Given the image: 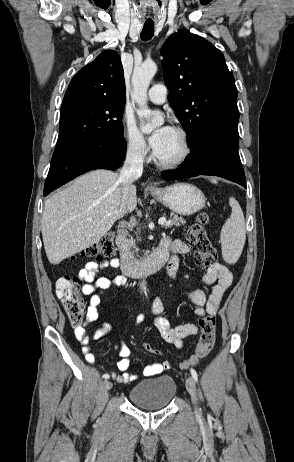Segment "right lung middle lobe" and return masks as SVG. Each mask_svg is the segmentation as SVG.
<instances>
[{
    "label": "right lung middle lobe",
    "instance_id": "dd1d6c3e",
    "mask_svg": "<svg viewBox=\"0 0 294 462\" xmlns=\"http://www.w3.org/2000/svg\"><path fill=\"white\" fill-rule=\"evenodd\" d=\"M125 99L79 98L62 103L58 144L74 139L123 136Z\"/></svg>",
    "mask_w": 294,
    "mask_h": 462
}]
</instances>
